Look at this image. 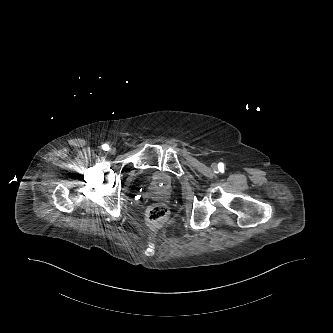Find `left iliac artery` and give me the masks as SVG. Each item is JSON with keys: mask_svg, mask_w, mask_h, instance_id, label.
I'll list each match as a JSON object with an SVG mask.
<instances>
[{"mask_svg": "<svg viewBox=\"0 0 333 333\" xmlns=\"http://www.w3.org/2000/svg\"><path fill=\"white\" fill-rule=\"evenodd\" d=\"M218 168H219V169H223V168H224V164H223L222 162L219 163V164H218Z\"/></svg>", "mask_w": 333, "mask_h": 333, "instance_id": "44dca946", "label": "left iliac artery"}]
</instances>
